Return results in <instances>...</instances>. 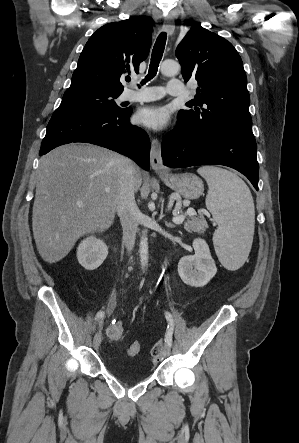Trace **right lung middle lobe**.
<instances>
[{"mask_svg":"<svg viewBox=\"0 0 299 443\" xmlns=\"http://www.w3.org/2000/svg\"><path fill=\"white\" fill-rule=\"evenodd\" d=\"M120 94L99 88L69 87L64 93L59 107L100 113L121 112L124 109L115 102Z\"/></svg>","mask_w":299,"mask_h":443,"instance_id":"dd1d6c3e","label":"right lung middle lobe"}]
</instances>
